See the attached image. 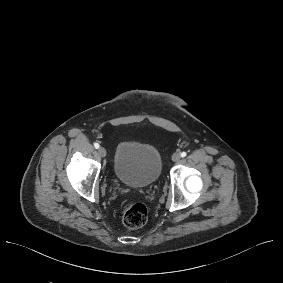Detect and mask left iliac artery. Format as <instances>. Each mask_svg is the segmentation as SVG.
Listing matches in <instances>:
<instances>
[{
	"mask_svg": "<svg viewBox=\"0 0 283 283\" xmlns=\"http://www.w3.org/2000/svg\"><path fill=\"white\" fill-rule=\"evenodd\" d=\"M186 155H187L186 152H182V153H181V157H185Z\"/></svg>",
	"mask_w": 283,
	"mask_h": 283,
	"instance_id": "left-iliac-artery-1",
	"label": "left iliac artery"
}]
</instances>
